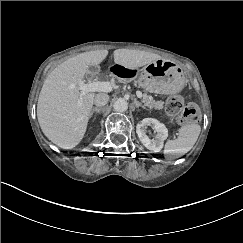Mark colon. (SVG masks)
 I'll return each mask as SVG.
<instances>
[{"instance_id": "5ec220e1", "label": "colon", "mask_w": 243, "mask_h": 243, "mask_svg": "<svg viewBox=\"0 0 243 243\" xmlns=\"http://www.w3.org/2000/svg\"><path fill=\"white\" fill-rule=\"evenodd\" d=\"M165 110L169 116L178 117L182 124L196 123L201 118L199 107L194 103L185 104L181 95L169 98Z\"/></svg>"}]
</instances>
